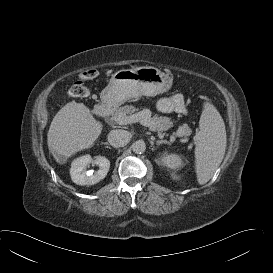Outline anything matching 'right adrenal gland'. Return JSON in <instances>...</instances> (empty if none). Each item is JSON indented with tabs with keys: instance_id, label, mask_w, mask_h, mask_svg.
<instances>
[{
	"instance_id": "2a0ac1e0",
	"label": "right adrenal gland",
	"mask_w": 273,
	"mask_h": 273,
	"mask_svg": "<svg viewBox=\"0 0 273 273\" xmlns=\"http://www.w3.org/2000/svg\"><path fill=\"white\" fill-rule=\"evenodd\" d=\"M103 144H104V145H107L106 147L108 148V146H109V145H108V143H107V142H105V143H103Z\"/></svg>"
}]
</instances>
